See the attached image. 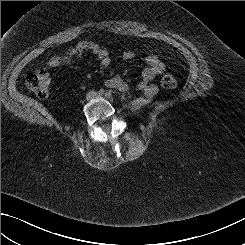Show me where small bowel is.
<instances>
[{
    "instance_id": "small-bowel-1",
    "label": "small bowel",
    "mask_w": 245,
    "mask_h": 245,
    "mask_svg": "<svg viewBox=\"0 0 245 245\" xmlns=\"http://www.w3.org/2000/svg\"><path fill=\"white\" fill-rule=\"evenodd\" d=\"M85 52H89L103 67H108L111 64L112 60L108 50L92 41L85 40L66 52L52 56L48 61V65L50 67H58L66 64L74 69H79L81 66L79 60ZM134 57L135 53L131 50L124 51L121 55V58L125 61L132 60ZM145 64L146 66L141 70V78L135 85L129 84L119 76H114L106 81V86L120 92H129L135 88L148 97L155 96L158 92V87L153 83V80L164 72L165 65L155 55H148L145 58Z\"/></svg>"
}]
</instances>
